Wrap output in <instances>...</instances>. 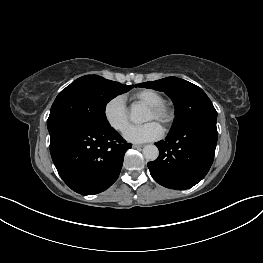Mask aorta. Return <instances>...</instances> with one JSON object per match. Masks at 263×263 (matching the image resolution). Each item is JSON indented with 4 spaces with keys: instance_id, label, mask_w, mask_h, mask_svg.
<instances>
[{
    "instance_id": "762f6f07",
    "label": "aorta",
    "mask_w": 263,
    "mask_h": 263,
    "mask_svg": "<svg viewBox=\"0 0 263 263\" xmlns=\"http://www.w3.org/2000/svg\"><path fill=\"white\" fill-rule=\"evenodd\" d=\"M130 119L135 123H142L145 121V109L140 104H134L131 107ZM143 155L146 160L154 161L157 159L159 155L158 148L153 145L149 144L144 146L143 148Z\"/></svg>"
}]
</instances>
